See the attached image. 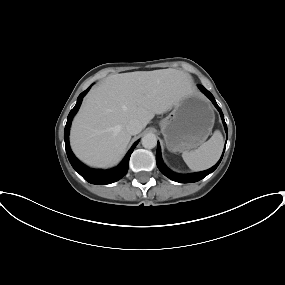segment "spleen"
Here are the masks:
<instances>
[{"label":"spleen","instance_id":"obj_1","mask_svg":"<svg viewBox=\"0 0 285 285\" xmlns=\"http://www.w3.org/2000/svg\"><path fill=\"white\" fill-rule=\"evenodd\" d=\"M223 150V136L215 131L212 137L193 151H184L182 158L193 171H202L212 167L220 158Z\"/></svg>","mask_w":285,"mask_h":285}]
</instances>
